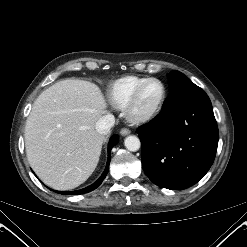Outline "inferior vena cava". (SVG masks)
<instances>
[{
    "label": "inferior vena cava",
    "instance_id": "obj_1",
    "mask_svg": "<svg viewBox=\"0 0 247 247\" xmlns=\"http://www.w3.org/2000/svg\"><path fill=\"white\" fill-rule=\"evenodd\" d=\"M114 124V116L112 114H107L97 121L95 129L99 134L107 135L110 132V129L114 126Z\"/></svg>",
    "mask_w": 247,
    "mask_h": 247
}]
</instances>
